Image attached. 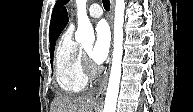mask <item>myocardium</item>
<instances>
[{
  "label": "myocardium",
  "instance_id": "myocardium-1",
  "mask_svg": "<svg viewBox=\"0 0 193 112\" xmlns=\"http://www.w3.org/2000/svg\"><path fill=\"white\" fill-rule=\"evenodd\" d=\"M81 59H82V66L85 74L88 76H94L98 73L99 69L95 67L92 62L90 61L88 53L81 48Z\"/></svg>",
  "mask_w": 193,
  "mask_h": 112
}]
</instances>
